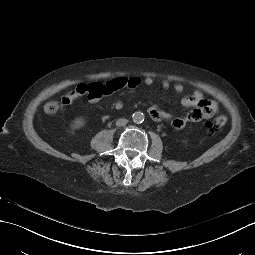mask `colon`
I'll return each mask as SVG.
<instances>
[{"label":"colon","instance_id":"1","mask_svg":"<svg viewBox=\"0 0 255 255\" xmlns=\"http://www.w3.org/2000/svg\"><path fill=\"white\" fill-rule=\"evenodd\" d=\"M60 109V103L56 100H49L45 105V112L48 114H55ZM227 119L225 116L220 115L211 121H207L205 128L209 133H216L220 131L226 124Z\"/></svg>","mask_w":255,"mask_h":255}]
</instances>
